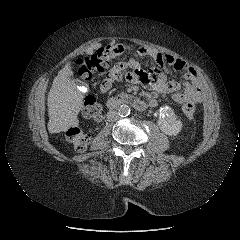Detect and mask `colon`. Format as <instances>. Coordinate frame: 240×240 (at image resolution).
<instances>
[{"instance_id":"1","label":"colon","mask_w":240,"mask_h":240,"mask_svg":"<svg viewBox=\"0 0 240 240\" xmlns=\"http://www.w3.org/2000/svg\"><path fill=\"white\" fill-rule=\"evenodd\" d=\"M127 50H129V46L124 43H114L101 47L77 61L78 73L83 79H91L94 74L105 71L111 59L122 55ZM182 110L187 118L192 119L195 114V105L190 102L184 103ZM83 114L92 120L100 118L101 107L95 97L87 96L84 99ZM66 136L77 151H84L90 142V134L78 126L70 127Z\"/></svg>"}]
</instances>
